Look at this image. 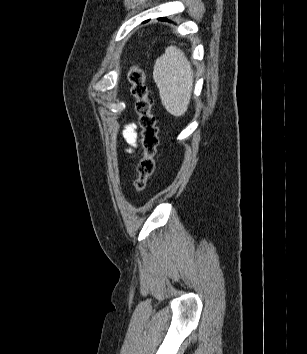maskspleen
I'll use <instances>...</instances> for the list:
<instances>
[{
	"mask_svg": "<svg viewBox=\"0 0 307 354\" xmlns=\"http://www.w3.org/2000/svg\"><path fill=\"white\" fill-rule=\"evenodd\" d=\"M193 70L183 51L169 46L154 65L153 78L165 109L173 116L185 114L193 87Z\"/></svg>",
	"mask_w": 307,
	"mask_h": 354,
	"instance_id": "spleen-1",
	"label": "spleen"
}]
</instances>
